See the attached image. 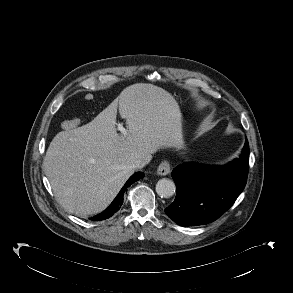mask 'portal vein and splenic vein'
Listing matches in <instances>:
<instances>
[{"mask_svg":"<svg viewBox=\"0 0 293 293\" xmlns=\"http://www.w3.org/2000/svg\"><path fill=\"white\" fill-rule=\"evenodd\" d=\"M118 130H119V131H120L125 137H127L128 132H127V130L123 127L122 124H118Z\"/></svg>","mask_w":293,"mask_h":293,"instance_id":"obj_1","label":"portal vein and splenic vein"}]
</instances>
